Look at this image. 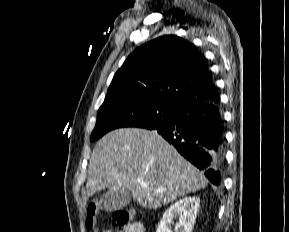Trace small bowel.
<instances>
[{
	"label": "small bowel",
	"instance_id": "obj_1",
	"mask_svg": "<svg viewBox=\"0 0 289 232\" xmlns=\"http://www.w3.org/2000/svg\"><path fill=\"white\" fill-rule=\"evenodd\" d=\"M102 232H145V227L140 222H131L124 227H119L116 229L110 228Z\"/></svg>",
	"mask_w": 289,
	"mask_h": 232
}]
</instances>
